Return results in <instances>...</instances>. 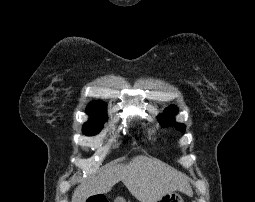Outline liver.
Listing matches in <instances>:
<instances>
[{
    "label": "liver",
    "instance_id": "liver-1",
    "mask_svg": "<svg viewBox=\"0 0 255 202\" xmlns=\"http://www.w3.org/2000/svg\"><path fill=\"white\" fill-rule=\"evenodd\" d=\"M119 181L140 202H156L173 190L192 192L184 174L159 160L140 155L128 164L112 165L82 182L74 190L72 202H85L90 196L108 193Z\"/></svg>",
    "mask_w": 255,
    "mask_h": 202
}]
</instances>
